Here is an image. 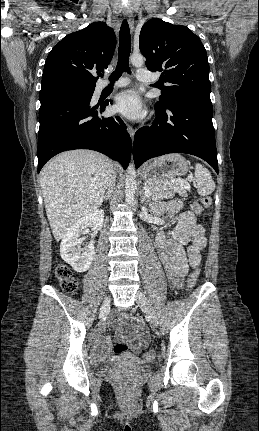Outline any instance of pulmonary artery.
<instances>
[{"mask_svg":"<svg viewBox=\"0 0 259 431\" xmlns=\"http://www.w3.org/2000/svg\"><path fill=\"white\" fill-rule=\"evenodd\" d=\"M137 79L141 82H152L155 80L153 74L150 73L149 71L145 70V69H139L137 71ZM128 83H129V80L127 78H121L116 83H114L113 86L114 87H124V86L128 85ZM107 86H108V84L104 83L101 85L100 89H104Z\"/></svg>","mask_w":259,"mask_h":431,"instance_id":"e3ab8cb5","label":"pulmonary artery"}]
</instances>
